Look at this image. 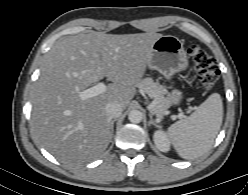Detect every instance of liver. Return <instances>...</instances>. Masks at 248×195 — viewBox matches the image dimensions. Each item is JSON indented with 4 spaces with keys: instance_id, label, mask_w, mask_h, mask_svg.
<instances>
[{
    "instance_id": "liver-1",
    "label": "liver",
    "mask_w": 248,
    "mask_h": 195,
    "mask_svg": "<svg viewBox=\"0 0 248 195\" xmlns=\"http://www.w3.org/2000/svg\"><path fill=\"white\" fill-rule=\"evenodd\" d=\"M162 36L97 32L57 41L45 55L32 101V129L44 148L67 165L100 156L112 138L106 105H129ZM104 77L113 82L104 93L79 98Z\"/></svg>"
}]
</instances>
